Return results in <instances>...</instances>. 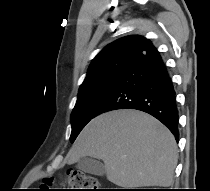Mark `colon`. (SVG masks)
<instances>
[{
    "label": "colon",
    "mask_w": 210,
    "mask_h": 191,
    "mask_svg": "<svg viewBox=\"0 0 210 191\" xmlns=\"http://www.w3.org/2000/svg\"><path fill=\"white\" fill-rule=\"evenodd\" d=\"M68 191H103L100 181L83 172H71L67 175Z\"/></svg>",
    "instance_id": "5ec220e1"
}]
</instances>
